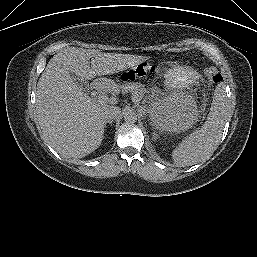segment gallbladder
<instances>
[{
  "label": "gallbladder",
  "mask_w": 257,
  "mask_h": 257,
  "mask_svg": "<svg viewBox=\"0 0 257 257\" xmlns=\"http://www.w3.org/2000/svg\"><path fill=\"white\" fill-rule=\"evenodd\" d=\"M70 75H71L72 79L78 84V86H79L82 90H84V91L88 90L89 84H88L87 81L81 80L79 77H77V76L74 75L73 73H70Z\"/></svg>",
  "instance_id": "1"
}]
</instances>
